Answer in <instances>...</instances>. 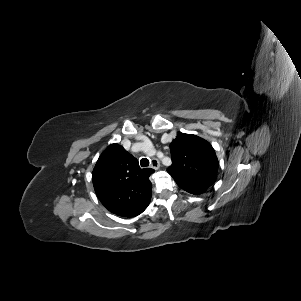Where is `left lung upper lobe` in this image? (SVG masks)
<instances>
[{"mask_svg": "<svg viewBox=\"0 0 301 301\" xmlns=\"http://www.w3.org/2000/svg\"><path fill=\"white\" fill-rule=\"evenodd\" d=\"M170 151L173 163L167 171L180 188L198 195L215 182L218 159L209 142L180 133L170 144Z\"/></svg>", "mask_w": 301, "mask_h": 301, "instance_id": "obj_1", "label": "left lung upper lobe"}]
</instances>
